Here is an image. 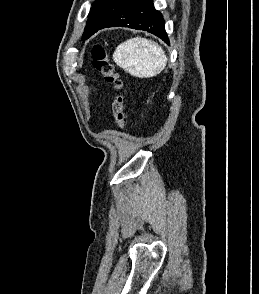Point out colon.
<instances>
[{"label":"colon","mask_w":259,"mask_h":294,"mask_svg":"<svg viewBox=\"0 0 259 294\" xmlns=\"http://www.w3.org/2000/svg\"><path fill=\"white\" fill-rule=\"evenodd\" d=\"M94 67L103 75L104 79L116 90V95L112 102V112L118 128H124L127 123L124 112V97L122 95L123 81L110 62L106 50L103 46L96 44L92 49Z\"/></svg>","instance_id":"5ec220e1"}]
</instances>
